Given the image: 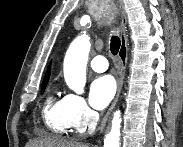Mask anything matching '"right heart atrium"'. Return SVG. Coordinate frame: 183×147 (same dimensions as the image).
Listing matches in <instances>:
<instances>
[{
	"mask_svg": "<svg viewBox=\"0 0 183 147\" xmlns=\"http://www.w3.org/2000/svg\"><path fill=\"white\" fill-rule=\"evenodd\" d=\"M66 107L69 124L76 130L85 131L94 123L96 115L81 96L68 94Z\"/></svg>",
	"mask_w": 183,
	"mask_h": 147,
	"instance_id": "d8ad5b80",
	"label": "right heart atrium"
}]
</instances>
